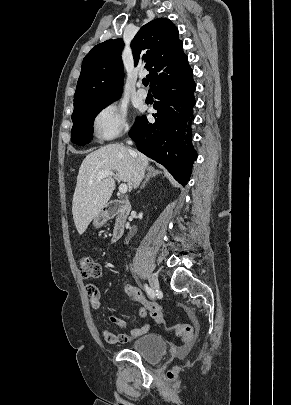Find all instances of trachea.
Wrapping results in <instances>:
<instances>
[{"label":"trachea","mask_w":291,"mask_h":405,"mask_svg":"<svg viewBox=\"0 0 291 405\" xmlns=\"http://www.w3.org/2000/svg\"><path fill=\"white\" fill-rule=\"evenodd\" d=\"M148 80L147 79H143V84L145 85V86H147L148 85Z\"/></svg>","instance_id":"3493384b"}]
</instances>
